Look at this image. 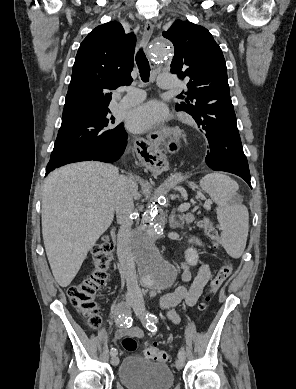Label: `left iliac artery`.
I'll use <instances>...</instances> for the list:
<instances>
[{"label": "left iliac artery", "instance_id": "1", "mask_svg": "<svg viewBox=\"0 0 296 389\" xmlns=\"http://www.w3.org/2000/svg\"><path fill=\"white\" fill-rule=\"evenodd\" d=\"M146 319H147L146 328L151 332H155L157 330V327H156L157 317L154 314L147 313ZM178 358H185L184 348H181L179 350Z\"/></svg>", "mask_w": 296, "mask_h": 389}]
</instances>
